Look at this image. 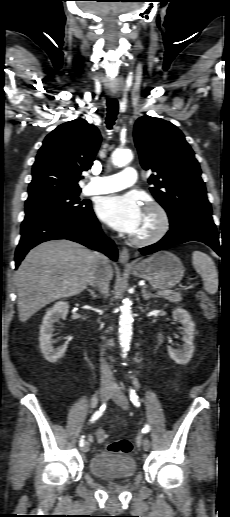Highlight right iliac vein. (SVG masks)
Returning a JSON list of instances; mask_svg holds the SVG:
<instances>
[{
  "mask_svg": "<svg viewBox=\"0 0 230 517\" xmlns=\"http://www.w3.org/2000/svg\"><path fill=\"white\" fill-rule=\"evenodd\" d=\"M111 395V388L109 387V385H104L102 386V388L100 389V400L101 402H105L108 397ZM90 449V444L89 442H85L84 445L82 446V451L84 453H87Z\"/></svg>",
  "mask_w": 230,
  "mask_h": 517,
  "instance_id": "right-iliac-vein-1",
  "label": "right iliac vein"
}]
</instances>
